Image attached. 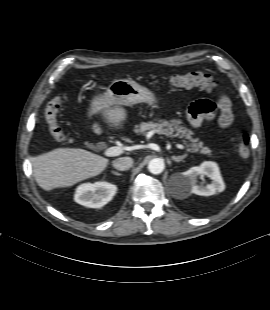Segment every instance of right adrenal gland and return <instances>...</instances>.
<instances>
[{
	"instance_id": "right-adrenal-gland-1",
	"label": "right adrenal gland",
	"mask_w": 270,
	"mask_h": 310,
	"mask_svg": "<svg viewBox=\"0 0 270 310\" xmlns=\"http://www.w3.org/2000/svg\"><path fill=\"white\" fill-rule=\"evenodd\" d=\"M112 174L116 175V176H121L122 174L117 172V171H111Z\"/></svg>"
}]
</instances>
